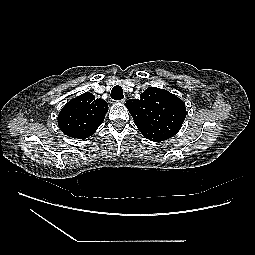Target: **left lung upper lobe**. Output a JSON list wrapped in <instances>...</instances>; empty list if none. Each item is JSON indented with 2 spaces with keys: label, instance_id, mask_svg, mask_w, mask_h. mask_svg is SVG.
I'll list each match as a JSON object with an SVG mask.
<instances>
[{
  "label": "left lung upper lobe",
  "instance_id": "obj_1",
  "mask_svg": "<svg viewBox=\"0 0 255 255\" xmlns=\"http://www.w3.org/2000/svg\"><path fill=\"white\" fill-rule=\"evenodd\" d=\"M126 107L146 139L161 142L173 137L185 117L184 102L167 90L148 87L139 99H129Z\"/></svg>",
  "mask_w": 255,
  "mask_h": 255
}]
</instances>
